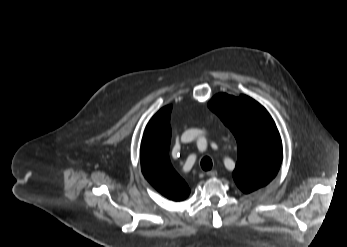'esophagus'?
I'll use <instances>...</instances> for the list:
<instances>
[{"instance_id":"34e87169","label":"esophagus","mask_w":347,"mask_h":247,"mask_svg":"<svg viewBox=\"0 0 347 247\" xmlns=\"http://www.w3.org/2000/svg\"><path fill=\"white\" fill-rule=\"evenodd\" d=\"M209 177H214L217 175V171L216 170H211V171H208L206 173Z\"/></svg>"}]
</instances>
